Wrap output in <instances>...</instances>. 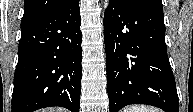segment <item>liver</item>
Returning <instances> with one entry per match:
<instances>
[{"mask_svg":"<svg viewBox=\"0 0 193 112\" xmlns=\"http://www.w3.org/2000/svg\"><path fill=\"white\" fill-rule=\"evenodd\" d=\"M41 112H66L65 109H59V108H49V109H43Z\"/></svg>","mask_w":193,"mask_h":112,"instance_id":"obj_1","label":"liver"}]
</instances>
